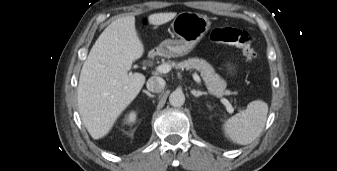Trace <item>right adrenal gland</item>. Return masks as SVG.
I'll return each instance as SVG.
<instances>
[{"label":"right adrenal gland","mask_w":337,"mask_h":171,"mask_svg":"<svg viewBox=\"0 0 337 171\" xmlns=\"http://www.w3.org/2000/svg\"><path fill=\"white\" fill-rule=\"evenodd\" d=\"M143 93H145L146 95H148L151 98H154L155 96L153 94H151L150 92H148L147 90H143Z\"/></svg>","instance_id":"2a0ac1e0"}]
</instances>
